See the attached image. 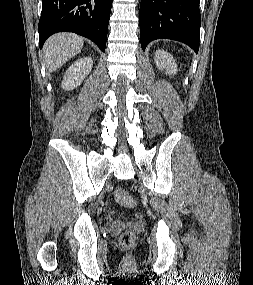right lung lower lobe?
Here are the masks:
<instances>
[{"instance_id": "98d812e1", "label": "right lung lower lobe", "mask_w": 253, "mask_h": 285, "mask_svg": "<svg viewBox=\"0 0 253 285\" xmlns=\"http://www.w3.org/2000/svg\"><path fill=\"white\" fill-rule=\"evenodd\" d=\"M113 0H42L39 46L54 33L74 32L92 40L105 52Z\"/></svg>"}]
</instances>
